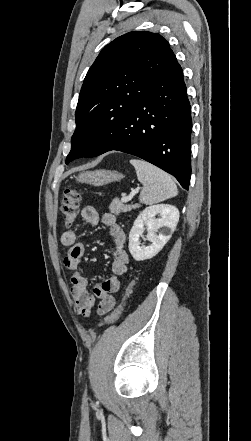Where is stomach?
<instances>
[{"mask_svg": "<svg viewBox=\"0 0 251 441\" xmlns=\"http://www.w3.org/2000/svg\"><path fill=\"white\" fill-rule=\"evenodd\" d=\"M123 178V174L117 171L99 169L80 173L77 177V181L98 187L111 182L120 181Z\"/></svg>", "mask_w": 251, "mask_h": 441, "instance_id": "0dacf381", "label": "stomach"}]
</instances>
